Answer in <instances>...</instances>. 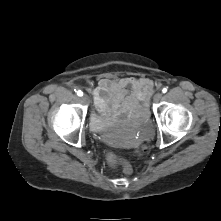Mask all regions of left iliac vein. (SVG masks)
I'll use <instances>...</instances> for the list:
<instances>
[{"label":"left iliac vein","mask_w":221,"mask_h":221,"mask_svg":"<svg viewBox=\"0 0 221 221\" xmlns=\"http://www.w3.org/2000/svg\"><path fill=\"white\" fill-rule=\"evenodd\" d=\"M161 98H162V93H161V92H158V93H156V94L154 95L153 101H154V102H159V101L161 100Z\"/></svg>","instance_id":"obj_1"}]
</instances>
